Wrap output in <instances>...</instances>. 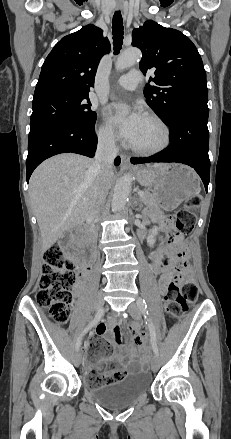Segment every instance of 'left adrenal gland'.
Masks as SVG:
<instances>
[{
	"instance_id": "1",
	"label": "left adrenal gland",
	"mask_w": 231,
	"mask_h": 439,
	"mask_svg": "<svg viewBox=\"0 0 231 439\" xmlns=\"http://www.w3.org/2000/svg\"><path fill=\"white\" fill-rule=\"evenodd\" d=\"M140 203V199L138 198L137 195H135V200H134V205L137 206V204ZM142 207V203H140V207L139 209Z\"/></svg>"
}]
</instances>
